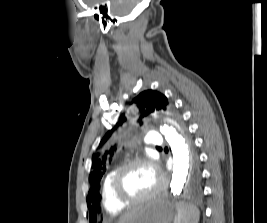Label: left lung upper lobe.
Listing matches in <instances>:
<instances>
[{
  "mask_svg": "<svg viewBox=\"0 0 267 223\" xmlns=\"http://www.w3.org/2000/svg\"><path fill=\"white\" fill-rule=\"evenodd\" d=\"M133 103H136L137 107L140 110L141 116L138 120L140 125H142V117L147 116L148 114L163 110L167 113L174 114L173 104L168 100V98L156 91V90H146L141 92L136 98L133 99ZM126 120L124 114L120 117L119 123L102 139L100 145L104 144L106 140L110 137L112 132L121 125ZM185 132V131H184ZM186 133V132H185ZM188 146L191 150L190 152V171H199L198 158L193 152V145L191 142H188ZM111 160V152L105 151V153H97L92 157V172L89 175V181L92 185L91 189L87 195V211L88 214H91L90 222L95 221L96 214H106L105 206H101L100 203V181L105 173L106 165Z\"/></svg>",
  "mask_w": 267,
  "mask_h": 223,
  "instance_id": "obj_1",
  "label": "left lung upper lobe"
}]
</instances>
